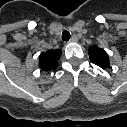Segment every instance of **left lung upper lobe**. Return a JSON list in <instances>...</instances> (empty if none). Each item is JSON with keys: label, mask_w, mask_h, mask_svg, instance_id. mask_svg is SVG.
<instances>
[{"label": "left lung upper lobe", "mask_w": 127, "mask_h": 127, "mask_svg": "<svg viewBox=\"0 0 127 127\" xmlns=\"http://www.w3.org/2000/svg\"><path fill=\"white\" fill-rule=\"evenodd\" d=\"M90 60L97 66L105 69L110 65L108 54L98 46H92L88 50Z\"/></svg>", "instance_id": "obj_1"}]
</instances>
